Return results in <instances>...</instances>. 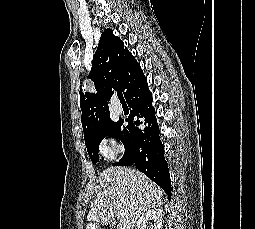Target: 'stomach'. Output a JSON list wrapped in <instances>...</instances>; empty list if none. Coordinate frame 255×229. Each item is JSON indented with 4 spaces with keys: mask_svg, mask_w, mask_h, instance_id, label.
<instances>
[{
    "mask_svg": "<svg viewBox=\"0 0 255 229\" xmlns=\"http://www.w3.org/2000/svg\"><path fill=\"white\" fill-rule=\"evenodd\" d=\"M89 226H90V229H99L97 224H95V223H93V224L91 223V224H89Z\"/></svg>",
    "mask_w": 255,
    "mask_h": 229,
    "instance_id": "0dacf381",
    "label": "stomach"
}]
</instances>
